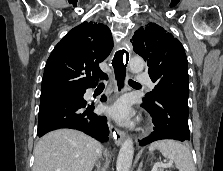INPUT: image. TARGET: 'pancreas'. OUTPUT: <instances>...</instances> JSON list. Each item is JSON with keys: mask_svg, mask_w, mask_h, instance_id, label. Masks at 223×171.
<instances>
[{"mask_svg": "<svg viewBox=\"0 0 223 171\" xmlns=\"http://www.w3.org/2000/svg\"><path fill=\"white\" fill-rule=\"evenodd\" d=\"M158 171H164L163 169H158Z\"/></svg>", "mask_w": 223, "mask_h": 171, "instance_id": "pancreas-1", "label": "pancreas"}]
</instances>
